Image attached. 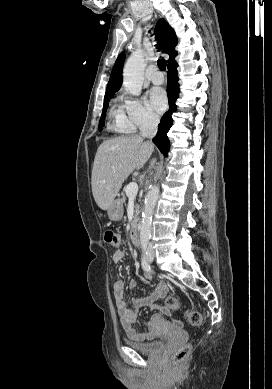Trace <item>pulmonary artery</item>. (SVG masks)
Here are the masks:
<instances>
[{"label":"pulmonary artery","mask_w":272,"mask_h":389,"mask_svg":"<svg viewBox=\"0 0 272 389\" xmlns=\"http://www.w3.org/2000/svg\"><path fill=\"white\" fill-rule=\"evenodd\" d=\"M149 79H150L151 83L154 85H160L164 81V77H163L162 73L159 71L152 72L149 76Z\"/></svg>","instance_id":"obj_1"}]
</instances>
